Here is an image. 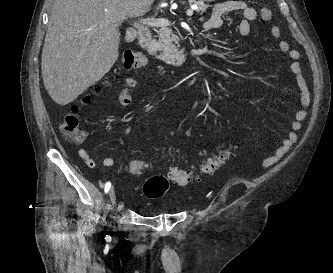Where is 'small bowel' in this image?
I'll return each mask as SVG.
<instances>
[{
  "label": "small bowel",
  "mask_w": 333,
  "mask_h": 273,
  "mask_svg": "<svg viewBox=\"0 0 333 273\" xmlns=\"http://www.w3.org/2000/svg\"><path fill=\"white\" fill-rule=\"evenodd\" d=\"M230 12H237L241 15V20L237 24V33L241 36H248L251 33V23L256 21L258 18V11L246 5L242 0H225L223 2L217 3L212 11L210 18L205 22L204 28L207 30L220 28L223 23V17ZM272 34L276 38L280 37L279 30L276 27L272 28ZM278 48L280 52L286 54L291 60H293L290 68L294 74L295 82L299 90L300 107L295 112L294 120L291 123V129L289 130L287 136L281 141L279 145L274 148L272 155L264 162L265 166L277 163L297 142V131L302 127V121L307 116L305 108L309 105L310 102L309 91L303 72L301 70V66L298 62L300 57L299 52L291 49L289 43L284 40L279 41ZM134 90L135 85L132 80H129L128 84L123 85V89L121 90L122 94L119 96L120 103L123 106H128L131 103V98L128 95V91ZM79 156L88 167L94 166V160L85 149L79 150ZM114 162L115 160L112 156H106L101 160V164L105 167L112 166Z\"/></svg>",
  "instance_id": "obj_1"
}]
</instances>
